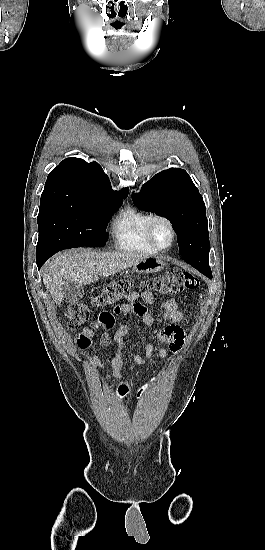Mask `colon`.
<instances>
[{"instance_id":"obj_1","label":"colon","mask_w":265,"mask_h":550,"mask_svg":"<svg viewBox=\"0 0 265 550\" xmlns=\"http://www.w3.org/2000/svg\"><path fill=\"white\" fill-rule=\"evenodd\" d=\"M134 285V279L128 277L121 278L103 287L90 302H74L70 304L66 309L68 327L72 330L78 329L89 321L92 308L105 306H111L113 308L112 312H102L92 325L99 327L111 324L115 315L121 313L122 301L131 293ZM142 285L161 295L174 296L197 289L200 286V281L191 272L176 268L165 275L149 278L143 281ZM136 307L142 309L143 305L137 303ZM146 389L147 386H144L139 390V398L143 397Z\"/></svg>"}]
</instances>
